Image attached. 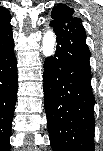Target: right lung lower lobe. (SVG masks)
<instances>
[{
	"instance_id": "right-lung-lower-lobe-1",
	"label": "right lung lower lobe",
	"mask_w": 103,
	"mask_h": 151,
	"mask_svg": "<svg viewBox=\"0 0 103 151\" xmlns=\"http://www.w3.org/2000/svg\"><path fill=\"white\" fill-rule=\"evenodd\" d=\"M12 26L0 29V141L8 148L17 94V69Z\"/></svg>"
}]
</instances>
